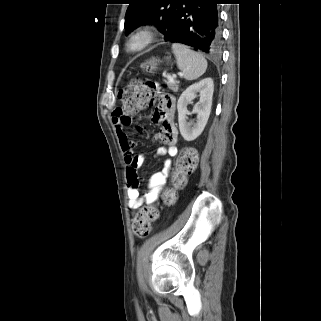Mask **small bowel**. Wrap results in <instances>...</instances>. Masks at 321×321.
Instances as JSON below:
<instances>
[{
	"mask_svg": "<svg viewBox=\"0 0 321 321\" xmlns=\"http://www.w3.org/2000/svg\"><path fill=\"white\" fill-rule=\"evenodd\" d=\"M144 90H152L153 96H159L158 104L152 115V121L161 126L153 140L161 144L155 152L156 158H165L161 171L153 174L148 181V190L141 195L138 189V169L143 165L145 156L134 151L135 142L130 139L126 128L132 125L130 115L122 113L119 109L113 112L112 122L115 127L120 146L124 153V160L127 165L128 179V206L136 210L144 204L154 203L167 183V178L172 167L171 158L177 154V128L175 125V98L166 93L165 89L159 88L158 83H144Z\"/></svg>",
	"mask_w": 321,
	"mask_h": 321,
	"instance_id": "1",
	"label": "small bowel"
}]
</instances>
